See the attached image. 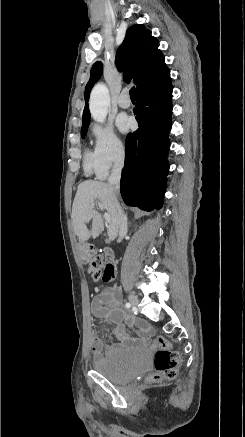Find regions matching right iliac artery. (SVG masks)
<instances>
[{
    "label": "right iliac artery",
    "instance_id": "right-iliac-artery-1",
    "mask_svg": "<svg viewBox=\"0 0 245 437\" xmlns=\"http://www.w3.org/2000/svg\"><path fill=\"white\" fill-rule=\"evenodd\" d=\"M126 307H127V308H130V307H131V304H130V303H126Z\"/></svg>",
    "mask_w": 245,
    "mask_h": 437
}]
</instances>
